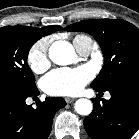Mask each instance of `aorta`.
<instances>
[{
    "label": "aorta",
    "mask_w": 139,
    "mask_h": 139,
    "mask_svg": "<svg viewBox=\"0 0 139 139\" xmlns=\"http://www.w3.org/2000/svg\"><path fill=\"white\" fill-rule=\"evenodd\" d=\"M75 57V50L67 41H55L49 48V58L55 64H71ZM74 108L78 114L87 116L92 112L93 104L89 99L81 98L75 102Z\"/></svg>",
    "instance_id": "aorta-1"
}]
</instances>
